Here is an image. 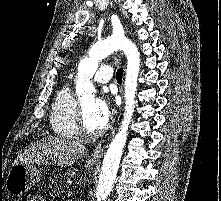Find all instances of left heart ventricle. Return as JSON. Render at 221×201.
<instances>
[{
  "label": "left heart ventricle",
  "mask_w": 221,
  "mask_h": 201,
  "mask_svg": "<svg viewBox=\"0 0 221 201\" xmlns=\"http://www.w3.org/2000/svg\"><path fill=\"white\" fill-rule=\"evenodd\" d=\"M94 103L95 100L93 98L87 99L83 101L82 107L84 111V118L86 125L91 130H98L100 129L105 123L100 120L94 111Z\"/></svg>",
  "instance_id": "b2bd125f"
}]
</instances>
